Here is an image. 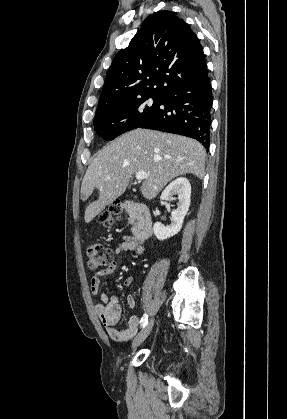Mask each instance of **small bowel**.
<instances>
[{
	"mask_svg": "<svg viewBox=\"0 0 287 419\" xmlns=\"http://www.w3.org/2000/svg\"><path fill=\"white\" fill-rule=\"evenodd\" d=\"M140 246V243L133 236H126L120 243L117 244L114 250L113 261L104 269L96 272L91 277L90 288L94 295H97L100 292L101 280L110 275L119 264L123 253L125 252H134ZM133 283L132 277L125 278L123 284L125 286H130ZM127 304L130 308H133L136 304L135 297L129 295L127 297ZM94 309L99 317L101 323L105 327L108 335L120 342H125L130 340L138 330L139 317L137 315H132L129 317L127 325L123 329L116 328V324L119 322L122 314L121 305L118 302L116 297H109L108 294H101V302L94 304Z\"/></svg>",
	"mask_w": 287,
	"mask_h": 419,
	"instance_id": "c3829d8e",
	"label": "small bowel"
}]
</instances>
